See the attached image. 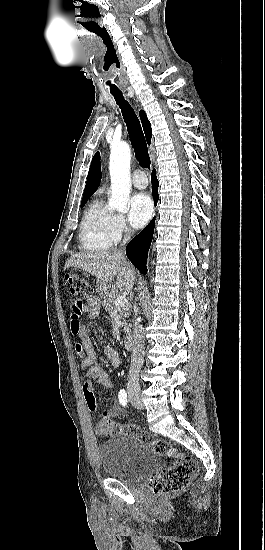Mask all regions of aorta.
Listing matches in <instances>:
<instances>
[{
  "label": "aorta",
  "mask_w": 265,
  "mask_h": 550,
  "mask_svg": "<svg viewBox=\"0 0 265 550\" xmlns=\"http://www.w3.org/2000/svg\"><path fill=\"white\" fill-rule=\"evenodd\" d=\"M131 150L127 143L113 145L110 153L111 197L109 207L122 213L128 211Z\"/></svg>",
  "instance_id": "762f6f07"
}]
</instances>
